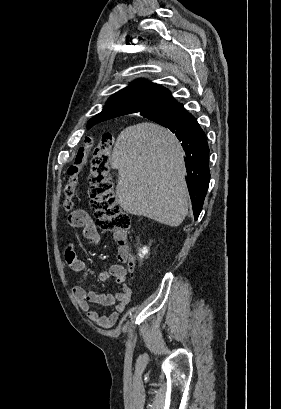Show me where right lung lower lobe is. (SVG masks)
Returning a JSON list of instances; mask_svg holds the SVG:
<instances>
[{"label":"right lung lower lobe","mask_w":281,"mask_h":409,"mask_svg":"<svg viewBox=\"0 0 281 409\" xmlns=\"http://www.w3.org/2000/svg\"><path fill=\"white\" fill-rule=\"evenodd\" d=\"M148 119L159 117H175L178 121L167 126L176 134L186 153L185 161L189 193L195 219L198 218L210 181L209 147L206 135L197 120L188 113L182 104L176 103L161 109H152L140 113Z\"/></svg>","instance_id":"98d812e1"}]
</instances>
